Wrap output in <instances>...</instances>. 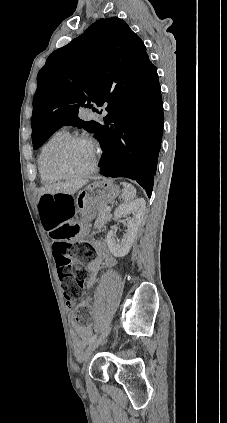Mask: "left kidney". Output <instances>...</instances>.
Segmentation results:
<instances>
[{
    "instance_id": "1",
    "label": "left kidney",
    "mask_w": 227,
    "mask_h": 423,
    "mask_svg": "<svg viewBox=\"0 0 227 423\" xmlns=\"http://www.w3.org/2000/svg\"><path fill=\"white\" fill-rule=\"evenodd\" d=\"M145 208V200L139 198V200H134L131 204L118 206L117 210L114 211V219L121 217V215L132 213V217H128L126 233H124L121 241L116 239L113 229H110L107 233L108 247L115 257H123V255H127L128 251H130L137 229L143 219V215H145Z\"/></svg>"
}]
</instances>
